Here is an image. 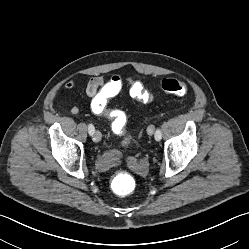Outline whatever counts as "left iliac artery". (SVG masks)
<instances>
[{
  "label": "left iliac artery",
  "mask_w": 249,
  "mask_h": 249,
  "mask_svg": "<svg viewBox=\"0 0 249 249\" xmlns=\"http://www.w3.org/2000/svg\"><path fill=\"white\" fill-rule=\"evenodd\" d=\"M155 140L156 141H160L161 138H162V134H161V130L158 128L156 131H155Z\"/></svg>",
  "instance_id": "left-iliac-artery-1"
}]
</instances>
